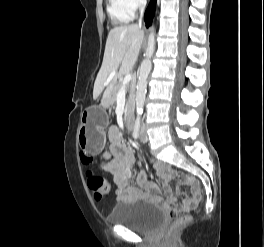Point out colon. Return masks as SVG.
I'll return each mask as SVG.
<instances>
[{"label": "colon", "mask_w": 264, "mask_h": 247, "mask_svg": "<svg viewBox=\"0 0 264 247\" xmlns=\"http://www.w3.org/2000/svg\"><path fill=\"white\" fill-rule=\"evenodd\" d=\"M84 161H92V156H84ZM88 185L93 191L94 198L97 201L104 200L110 193V183L104 177L96 174L94 171L89 170L87 172ZM179 183L182 186H190L194 188V192L183 197L179 202L172 204L170 209V215L174 218L173 223L170 226L171 230H175L178 227L186 224L190 219V213L195 210L201 200V195L198 191L197 183L192 177L181 176Z\"/></svg>", "instance_id": "colon-1"}]
</instances>
